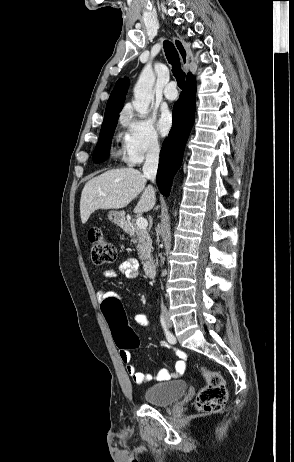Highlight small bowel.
I'll use <instances>...</instances> for the list:
<instances>
[{"mask_svg": "<svg viewBox=\"0 0 294 462\" xmlns=\"http://www.w3.org/2000/svg\"><path fill=\"white\" fill-rule=\"evenodd\" d=\"M103 276L106 278H114L119 275H123L127 278H134L138 275V261L134 258L124 259L116 269H108L102 272ZM113 293L106 290H99L97 292V297L99 299H104L107 296L112 295ZM135 323L138 326H147L150 322L149 317L145 313H139L134 318ZM162 347L169 348L170 345L167 342H163ZM179 360L175 363V370L173 373H170L167 369H161L157 376L155 377L158 381L168 380L171 377H179L184 374L186 371V354L181 350L175 351ZM121 361L125 364L127 374L133 379L136 384H142L149 382L153 379V376L149 373L141 372L136 369V367L131 363V354L129 350L120 349L119 352Z\"/></svg>", "mask_w": 294, "mask_h": 462, "instance_id": "small-bowel-1", "label": "small bowel"}]
</instances>
